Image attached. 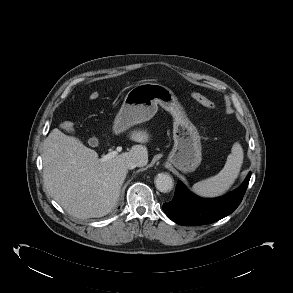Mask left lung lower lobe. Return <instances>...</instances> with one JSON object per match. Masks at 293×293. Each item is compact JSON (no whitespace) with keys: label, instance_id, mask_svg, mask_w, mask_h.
<instances>
[{"label":"left lung lower lobe","instance_id":"obj_1","mask_svg":"<svg viewBox=\"0 0 293 293\" xmlns=\"http://www.w3.org/2000/svg\"><path fill=\"white\" fill-rule=\"evenodd\" d=\"M251 173L234 192L215 199H203L190 193L179 182L172 201L163 204L166 215L174 222L185 225H204L231 214L240 204L247 189Z\"/></svg>","mask_w":293,"mask_h":293}]
</instances>
